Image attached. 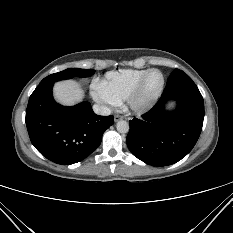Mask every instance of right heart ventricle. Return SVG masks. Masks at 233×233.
I'll use <instances>...</instances> for the list:
<instances>
[{
  "label": "right heart ventricle",
  "mask_w": 233,
  "mask_h": 233,
  "mask_svg": "<svg viewBox=\"0 0 233 233\" xmlns=\"http://www.w3.org/2000/svg\"><path fill=\"white\" fill-rule=\"evenodd\" d=\"M148 69H121L108 72L100 81L106 91L119 104L125 101L131 90Z\"/></svg>",
  "instance_id": "obj_1"
}]
</instances>
